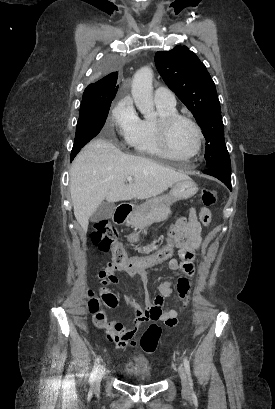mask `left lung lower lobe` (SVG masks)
I'll use <instances>...</instances> for the list:
<instances>
[{
	"label": "left lung lower lobe",
	"mask_w": 275,
	"mask_h": 409,
	"mask_svg": "<svg viewBox=\"0 0 275 409\" xmlns=\"http://www.w3.org/2000/svg\"><path fill=\"white\" fill-rule=\"evenodd\" d=\"M203 173L214 176L221 180L231 191V171L228 172L222 167H208L206 168Z\"/></svg>",
	"instance_id": "0a47b994"
}]
</instances>
